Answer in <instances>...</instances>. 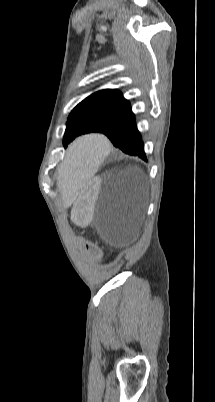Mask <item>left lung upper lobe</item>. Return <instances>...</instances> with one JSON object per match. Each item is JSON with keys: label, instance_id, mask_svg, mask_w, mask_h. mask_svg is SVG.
Listing matches in <instances>:
<instances>
[{"label": "left lung upper lobe", "instance_id": "1", "mask_svg": "<svg viewBox=\"0 0 215 402\" xmlns=\"http://www.w3.org/2000/svg\"><path fill=\"white\" fill-rule=\"evenodd\" d=\"M129 105V101L117 90L104 89L91 94L70 113L63 139L64 146L81 134L94 132Z\"/></svg>", "mask_w": 215, "mask_h": 402}]
</instances>
